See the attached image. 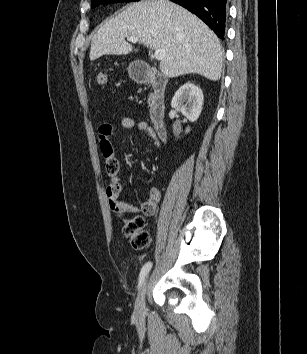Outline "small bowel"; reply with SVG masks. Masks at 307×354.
I'll return each mask as SVG.
<instances>
[{
    "label": "small bowel",
    "mask_w": 307,
    "mask_h": 354,
    "mask_svg": "<svg viewBox=\"0 0 307 354\" xmlns=\"http://www.w3.org/2000/svg\"><path fill=\"white\" fill-rule=\"evenodd\" d=\"M120 125L124 129L137 128L138 130L148 134L154 142L156 148H160L162 142L164 141L157 135L155 129L146 121H136L133 118L124 117L121 119ZM113 130L114 127L111 123H103L99 128L100 146L105 159L106 172L110 177V183L106 188L108 202L112 209L120 206L127 209L129 212L152 215L155 213L161 197L158 189L151 188L148 199L141 204H135L132 201L120 198L122 191V184L119 177L120 164L115 156L114 148L109 140Z\"/></svg>",
    "instance_id": "small-bowel-1"
}]
</instances>
